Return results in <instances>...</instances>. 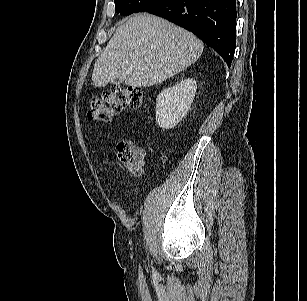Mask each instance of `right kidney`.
Returning <instances> with one entry per match:
<instances>
[{
	"label": "right kidney",
	"mask_w": 307,
	"mask_h": 301,
	"mask_svg": "<svg viewBox=\"0 0 307 301\" xmlns=\"http://www.w3.org/2000/svg\"><path fill=\"white\" fill-rule=\"evenodd\" d=\"M197 90L194 79H182L161 91L156 99V122L163 130L174 128L188 112Z\"/></svg>",
	"instance_id": "right-kidney-1"
}]
</instances>
